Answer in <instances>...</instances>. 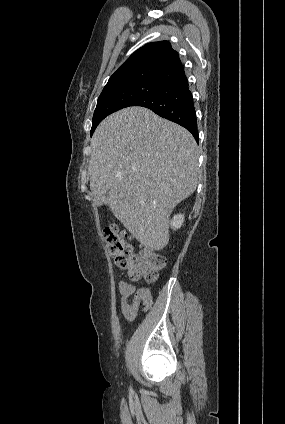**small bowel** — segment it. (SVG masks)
Instances as JSON below:
<instances>
[{
	"label": "small bowel",
	"mask_w": 285,
	"mask_h": 424,
	"mask_svg": "<svg viewBox=\"0 0 285 424\" xmlns=\"http://www.w3.org/2000/svg\"><path fill=\"white\" fill-rule=\"evenodd\" d=\"M119 290L122 295L120 311L129 322L136 319L140 310L147 311L152 305V297L147 288H136L130 282L121 280Z\"/></svg>",
	"instance_id": "c3829d8e"
}]
</instances>
